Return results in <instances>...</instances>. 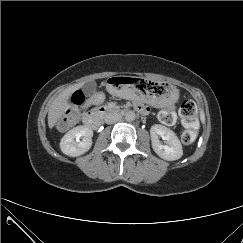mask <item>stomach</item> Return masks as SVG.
<instances>
[{"instance_id":"1","label":"stomach","mask_w":243,"mask_h":243,"mask_svg":"<svg viewBox=\"0 0 243 243\" xmlns=\"http://www.w3.org/2000/svg\"><path fill=\"white\" fill-rule=\"evenodd\" d=\"M109 92L125 100L148 103L159 108L173 106L179 92L166 79L114 76L107 82Z\"/></svg>"}]
</instances>
